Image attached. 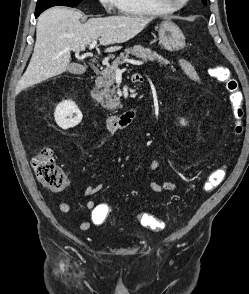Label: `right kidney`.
I'll list each match as a JSON object with an SVG mask.
<instances>
[{
    "instance_id": "right-kidney-1",
    "label": "right kidney",
    "mask_w": 249,
    "mask_h": 294,
    "mask_svg": "<svg viewBox=\"0 0 249 294\" xmlns=\"http://www.w3.org/2000/svg\"><path fill=\"white\" fill-rule=\"evenodd\" d=\"M82 113L75 102L68 100L57 105L54 118L57 125L64 129H70L78 125L82 120Z\"/></svg>"
}]
</instances>
